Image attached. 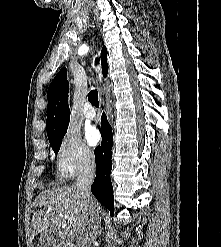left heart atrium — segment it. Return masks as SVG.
I'll return each instance as SVG.
<instances>
[{
    "instance_id": "39dd6f15",
    "label": "left heart atrium",
    "mask_w": 221,
    "mask_h": 247,
    "mask_svg": "<svg viewBox=\"0 0 221 247\" xmlns=\"http://www.w3.org/2000/svg\"><path fill=\"white\" fill-rule=\"evenodd\" d=\"M86 138L89 143L96 144L100 140V134L95 128H89L86 132Z\"/></svg>"
}]
</instances>
